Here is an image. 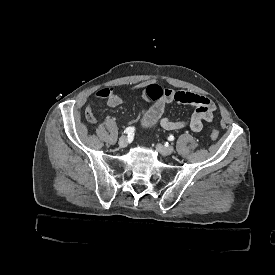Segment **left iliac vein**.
Instances as JSON below:
<instances>
[{
  "label": "left iliac vein",
  "instance_id": "obj_1",
  "mask_svg": "<svg viewBox=\"0 0 275 275\" xmlns=\"http://www.w3.org/2000/svg\"><path fill=\"white\" fill-rule=\"evenodd\" d=\"M156 149L162 153V155H171L174 153V148L172 146L164 147L160 143L156 145Z\"/></svg>",
  "mask_w": 275,
  "mask_h": 275
}]
</instances>
